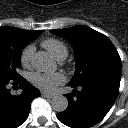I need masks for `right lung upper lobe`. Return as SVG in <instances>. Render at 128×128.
I'll use <instances>...</instances> for the list:
<instances>
[{
	"label": "right lung upper lobe",
	"instance_id": "right-lung-upper-lobe-1",
	"mask_svg": "<svg viewBox=\"0 0 128 128\" xmlns=\"http://www.w3.org/2000/svg\"><path fill=\"white\" fill-rule=\"evenodd\" d=\"M42 32L43 30L29 31L14 27H0V35H17L26 38H34V37L37 38Z\"/></svg>",
	"mask_w": 128,
	"mask_h": 128
}]
</instances>
